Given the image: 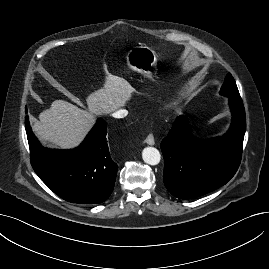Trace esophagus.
<instances>
[{"mask_svg":"<svg viewBox=\"0 0 269 269\" xmlns=\"http://www.w3.org/2000/svg\"><path fill=\"white\" fill-rule=\"evenodd\" d=\"M146 143L148 145H154L155 144V139H154V136L153 134H149L147 137H146Z\"/></svg>","mask_w":269,"mask_h":269,"instance_id":"obj_1","label":"esophagus"}]
</instances>
